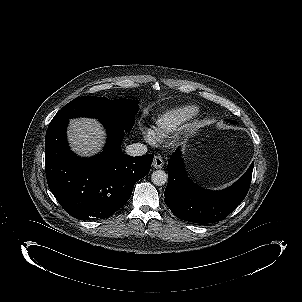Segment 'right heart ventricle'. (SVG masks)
Returning <instances> with one entry per match:
<instances>
[{
	"instance_id": "e07e8e85",
	"label": "right heart ventricle",
	"mask_w": 302,
	"mask_h": 302,
	"mask_svg": "<svg viewBox=\"0 0 302 302\" xmlns=\"http://www.w3.org/2000/svg\"><path fill=\"white\" fill-rule=\"evenodd\" d=\"M198 109L194 105L185 104L160 113L152 126L153 133L166 139L172 136L182 125L191 120Z\"/></svg>"
}]
</instances>
